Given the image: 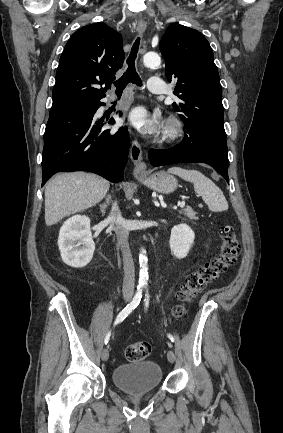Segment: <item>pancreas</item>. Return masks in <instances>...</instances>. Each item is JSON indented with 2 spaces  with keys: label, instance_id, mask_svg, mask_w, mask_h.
<instances>
[{
  "label": "pancreas",
  "instance_id": "cf45deb5",
  "mask_svg": "<svg viewBox=\"0 0 283 433\" xmlns=\"http://www.w3.org/2000/svg\"><path fill=\"white\" fill-rule=\"evenodd\" d=\"M183 214H186V217L189 219H197L196 212L191 208V206H187V208H183Z\"/></svg>",
  "mask_w": 283,
  "mask_h": 433
}]
</instances>
